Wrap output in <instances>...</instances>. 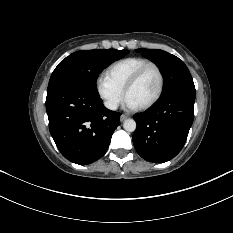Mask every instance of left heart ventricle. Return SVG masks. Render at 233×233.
Returning <instances> with one entry per match:
<instances>
[{"label":"left heart ventricle","mask_w":233,"mask_h":233,"mask_svg":"<svg viewBox=\"0 0 233 233\" xmlns=\"http://www.w3.org/2000/svg\"><path fill=\"white\" fill-rule=\"evenodd\" d=\"M158 87V74L154 68H149L139 81L129 90L127 98L131 99L139 107L155 96Z\"/></svg>","instance_id":"b2bd125f"}]
</instances>
